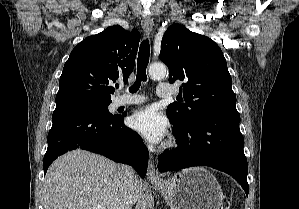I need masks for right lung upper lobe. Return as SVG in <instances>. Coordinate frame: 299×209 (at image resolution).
I'll list each match as a JSON object with an SVG mask.
<instances>
[{"label":"right lung upper lobe","mask_w":299,"mask_h":209,"mask_svg":"<svg viewBox=\"0 0 299 209\" xmlns=\"http://www.w3.org/2000/svg\"><path fill=\"white\" fill-rule=\"evenodd\" d=\"M140 41L137 30L119 25L85 38L70 53L59 81L56 105L111 102L112 83L133 71Z\"/></svg>","instance_id":"cb5924a9"}]
</instances>
